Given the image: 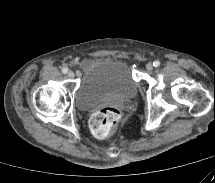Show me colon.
Masks as SVG:
<instances>
[{
  "instance_id": "colon-1",
  "label": "colon",
  "mask_w": 215,
  "mask_h": 183,
  "mask_svg": "<svg viewBox=\"0 0 215 183\" xmlns=\"http://www.w3.org/2000/svg\"><path fill=\"white\" fill-rule=\"evenodd\" d=\"M120 119V111L114 106L102 108L90 118L91 131L98 137L108 136Z\"/></svg>"
}]
</instances>
